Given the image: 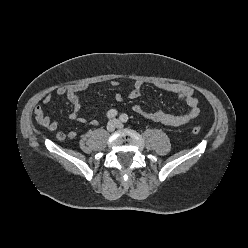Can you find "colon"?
<instances>
[{
  "mask_svg": "<svg viewBox=\"0 0 248 248\" xmlns=\"http://www.w3.org/2000/svg\"><path fill=\"white\" fill-rule=\"evenodd\" d=\"M201 132V128L199 126H194L192 128V133L193 134H199Z\"/></svg>",
  "mask_w": 248,
  "mask_h": 248,
  "instance_id": "obj_1",
  "label": "colon"
}]
</instances>
